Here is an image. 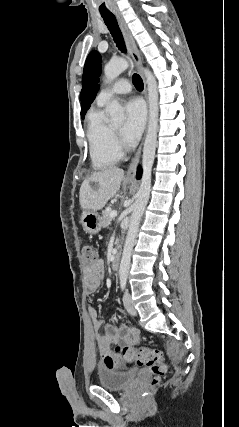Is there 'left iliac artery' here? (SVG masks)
<instances>
[{
  "mask_svg": "<svg viewBox=\"0 0 239 427\" xmlns=\"http://www.w3.org/2000/svg\"><path fill=\"white\" fill-rule=\"evenodd\" d=\"M126 281H127V277L126 276H122L120 279V285H121V289L124 290L126 287Z\"/></svg>",
  "mask_w": 239,
  "mask_h": 427,
  "instance_id": "1",
  "label": "left iliac artery"
}]
</instances>
